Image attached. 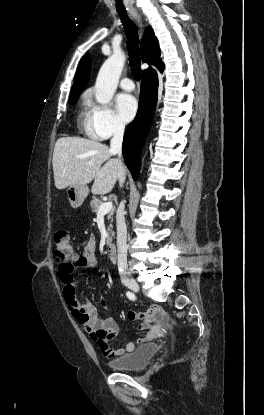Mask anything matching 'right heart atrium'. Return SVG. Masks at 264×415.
<instances>
[{
	"mask_svg": "<svg viewBox=\"0 0 264 415\" xmlns=\"http://www.w3.org/2000/svg\"><path fill=\"white\" fill-rule=\"evenodd\" d=\"M92 124L97 135L108 138L123 132L125 126L117 114L108 106H92Z\"/></svg>",
	"mask_w": 264,
	"mask_h": 415,
	"instance_id": "1",
	"label": "right heart atrium"
}]
</instances>
